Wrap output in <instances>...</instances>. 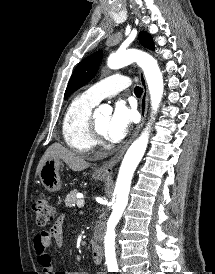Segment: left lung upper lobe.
I'll list each match as a JSON object with an SVG mask.
<instances>
[{
    "instance_id": "obj_1",
    "label": "left lung upper lobe",
    "mask_w": 215,
    "mask_h": 274,
    "mask_svg": "<svg viewBox=\"0 0 215 274\" xmlns=\"http://www.w3.org/2000/svg\"><path fill=\"white\" fill-rule=\"evenodd\" d=\"M139 40L144 47L152 50L154 49L153 40L150 34H147L146 32H140ZM101 58V51H98L77 65L66 88L64 100L74 91L84 86L95 76Z\"/></svg>"
}]
</instances>
